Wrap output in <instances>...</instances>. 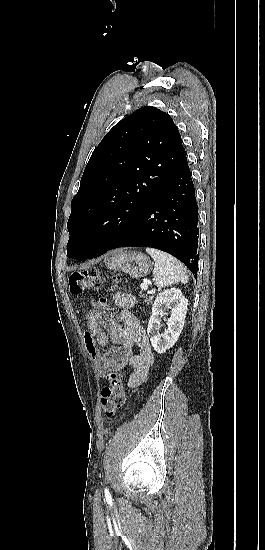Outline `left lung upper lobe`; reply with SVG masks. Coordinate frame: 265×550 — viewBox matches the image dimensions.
Returning a JSON list of instances; mask_svg holds the SVG:
<instances>
[{"mask_svg": "<svg viewBox=\"0 0 265 550\" xmlns=\"http://www.w3.org/2000/svg\"><path fill=\"white\" fill-rule=\"evenodd\" d=\"M185 156L172 118L155 107L117 123L93 151L71 202L67 256L85 261L110 247Z\"/></svg>", "mask_w": 265, "mask_h": 550, "instance_id": "5c2ea615", "label": "left lung upper lobe"}]
</instances>
